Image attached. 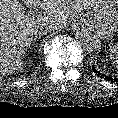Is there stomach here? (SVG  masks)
Masks as SVG:
<instances>
[{"instance_id": "obj_1", "label": "stomach", "mask_w": 118, "mask_h": 118, "mask_svg": "<svg viewBox=\"0 0 118 118\" xmlns=\"http://www.w3.org/2000/svg\"><path fill=\"white\" fill-rule=\"evenodd\" d=\"M102 39H111L118 31V13L113 0H98L95 8L82 19Z\"/></svg>"}]
</instances>
